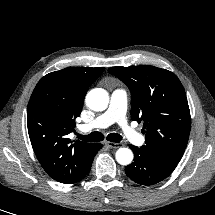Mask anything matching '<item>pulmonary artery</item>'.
I'll return each mask as SVG.
<instances>
[{
	"instance_id": "e3ab8cb5",
	"label": "pulmonary artery",
	"mask_w": 215,
	"mask_h": 215,
	"mask_svg": "<svg viewBox=\"0 0 215 215\" xmlns=\"http://www.w3.org/2000/svg\"><path fill=\"white\" fill-rule=\"evenodd\" d=\"M127 109V92L125 89H115L110 97L108 109L96 117L92 122L80 126V130L84 133L94 129H103L113 123H118L122 128L124 136L133 144L141 145L144 143V137L132 128L126 119Z\"/></svg>"
}]
</instances>
